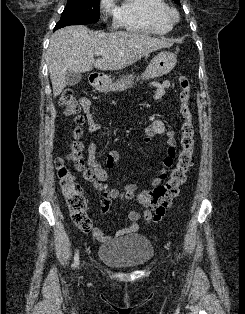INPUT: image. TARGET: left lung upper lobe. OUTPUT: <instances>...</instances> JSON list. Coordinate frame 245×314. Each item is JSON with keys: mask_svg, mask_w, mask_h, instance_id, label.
I'll return each mask as SVG.
<instances>
[{"mask_svg": "<svg viewBox=\"0 0 245 314\" xmlns=\"http://www.w3.org/2000/svg\"><path fill=\"white\" fill-rule=\"evenodd\" d=\"M176 4L180 5L179 0H173Z\"/></svg>", "mask_w": 245, "mask_h": 314, "instance_id": "5c2ea615", "label": "left lung upper lobe"}]
</instances>
